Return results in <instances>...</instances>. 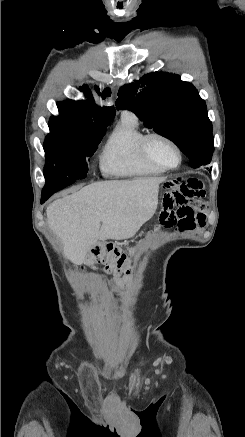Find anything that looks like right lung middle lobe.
Masks as SVG:
<instances>
[{
  "label": "right lung middle lobe",
  "instance_id": "1",
  "mask_svg": "<svg viewBox=\"0 0 245 437\" xmlns=\"http://www.w3.org/2000/svg\"><path fill=\"white\" fill-rule=\"evenodd\" d=\"M48 125L50 134L45 139L44 151L46 158L56 166L46 163V182L57 179L75 182L85 178L86 159L95 152L107 126L82 124L62 116L51 117Z\"/></svg>",
  "mask_w": 245,
  "mask_h": 437
}]
</instances>
